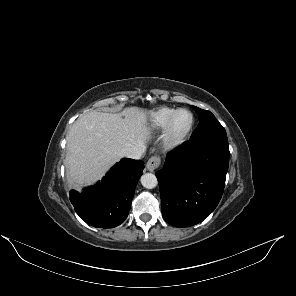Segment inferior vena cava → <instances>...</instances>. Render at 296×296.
I'll return each instance as SVG.
<instances>
[{"instance_id":"obj_1","label":"inferior vena cava","mask_w":296,"mask_h":296,"mask_svg":"<svg viewBox=\"0 0 296 296\" xmlns=\"http://www.w3.org/2000/svg\"><path fill=\"white\" fill-rule=\"evenodd\" d=\"M145 152V148L142 146H133L131 148H127L123 150L122 156H125L127 158L131 159H140Z\"/></svg>"}]
</instances>
